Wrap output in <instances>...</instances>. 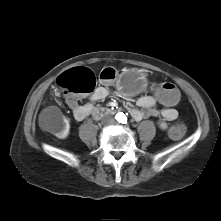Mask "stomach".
<instances>
[{
    "instance_id": "stomach-1",
    "label": "stomach",
    "mask_w": 221,
    "mask_h": 221,
    "mask_svg": "<svg viewBox=\"0 0 221 221\" xmlns=\"http://www.w3.org/2000/svg\"><path fill=\"white\" fill-rule=\"evenodd\" d=\"M146 84L145 73L139 70H128L120 75L116 86L121 94L133 96L140 93Z\"/></svg>"
}]
</instances>
